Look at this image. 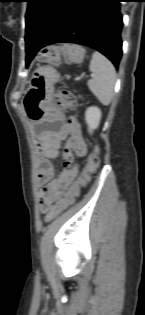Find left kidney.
Segmentation results:
<instances>
[{
	"mask_svg": "<svg viewBox=\"0 0 145 315\" xmlns=\"http://www.w3.org/2000/svg\"><path fill=\"white\" fill-rule=\"evenodd\" d=\"M85 120L88 125V130L90 133L98 128L101 120V111L98 107H89L85 112Z\"/></svg>",
	"mask_w": 145,
	"mask_h": 315,
	"instance_id": "obj_1",
	"label": "left kidney"
}]
</instances>
